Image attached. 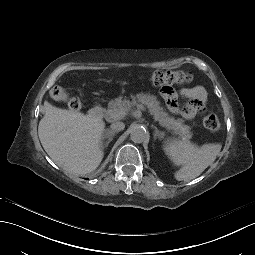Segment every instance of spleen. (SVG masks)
I'll list each match as a JSON object with an SVG mask.
<instances>
[{
    "instance_id": "obj_1",
    "label": "spleen",
    "mask_w": 255,
    "mask_h": 255,
    "mask_svg": "<svg viewBox=\"0 0 255 255\" xmlns=\"http://www.w3.org/2000/svg\"><path fill=\"white\" fill-rule=\"evenodd\" d=\"M221 145L203 144L201 147L186 139L168 140L163 151L174 166L177 181H190L199 176L216 158Z\"/></svg>"
}]
</instances>
